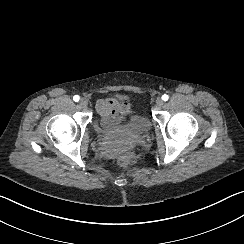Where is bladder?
I'll use <instances>...</instances> for the list:
<instances>
[{
  "mask_svg": "<svg viewBox=\"0 0 244 244\" xmlns=\"http://www.w3.org/2000/svg\"><path fill=\"white\" fill-rule=\"evenodd\" d=\"M119 129L139 135H146L150 132L151 122L146 116L139 115L138 113H131L129 115V122L124 126L119 127Z\"/></svg>",
  "mask_w": 244,
  "mask_h": 244,
  "instance_id": "bladder-1",
  "label": "bladder"
}]
</instances>
